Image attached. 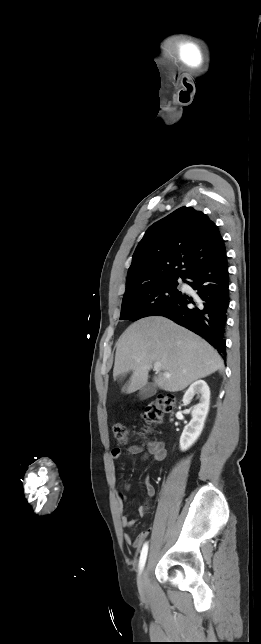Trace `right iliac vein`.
<instances>
[{
    "label": "right iliac vein",
    "mask_w": 261,
    "mask_h": 644,
    "mask_svg": "<svg viewBox=\"0 0 261 644\" xmlns=\"http://www.w3.org/2000/svg\"><path fill=\"white\" fill-rule=\"evenodd\" d=\"M138 588H139L140 595L143 598H147L148 595H149V582H148V568L147 567H145L142 570V572H141V574H140V576L138 578Z\"/></svg>",
    "instance_id": "right-iliac-vein-1"
}]
</instances>
